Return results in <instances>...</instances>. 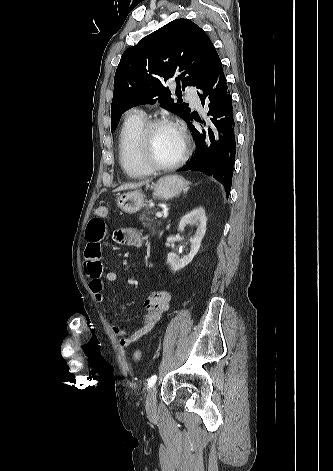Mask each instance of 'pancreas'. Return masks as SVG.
<instances>
[{
  "label": "pancreas",
  "mask_w": 333,
  "mask_h": 471,
  "mask_svg": "<svg viewBox=\"0 0 333 471\" xmlns=\"http://www.w3.org/2000/svg\"><path fill=\"white\" fill-rule=\"evenodd\" d=\"M152 214V210L149 207L146 209L139 217L141 221H144L143 224L153 233H156L157 230L160 228L161 223L157 222L155 218H151L150 215Z\"/></svg>",
  "instance_id": "pancreas-1"
}]
</instances>
